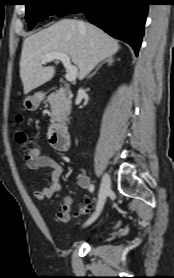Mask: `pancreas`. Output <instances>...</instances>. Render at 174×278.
I'll return each instance as SVG.
<instances>
[{
    "mask_svg": "<svg viewBox=\"0 0 174 278\" xmlns=\"http://www.w3.org/2000/svg\"><path fill=\"white\" fill-rule=\"evenodd\" d=\"M71 93L65 88L51 93L46 102L50 104L52 121H65L71 109Z\"/></svg>",
    "mask_w": 174,
    "mask_h": 278,
    "instance_id": "1",
    "label": "pancreas"
}]
</instances>
